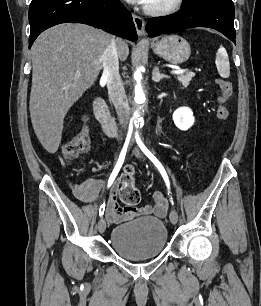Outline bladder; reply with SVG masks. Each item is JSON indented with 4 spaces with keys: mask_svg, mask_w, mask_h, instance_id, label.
<instances>
[{
    "mask_svg": "<svg viewBox=\"0 0 261 306\" xmlns=\"http://www.w3.org/2000/svg\"><path fill=\"white\" fill-rule=\"evenodd\" d=\"M165 223L153 216H143L115 226L110 234L112 249L120 257L139 261L159 256L166 248Z\"/></svg>",
    "mask_w": 261,
    "mask_h": 306,
    "instance_id": "bladder-1",
    "label": "bladder"
}]
</instances>
